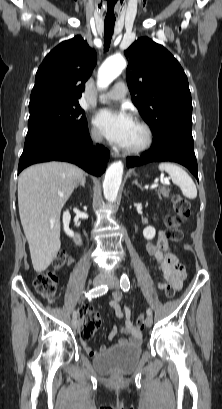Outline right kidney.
<instances>
[{"label": "right kidney", "instance_id": "obj_1", "mask_svg": "<svg viewBox=\"0 0 222 409\" xmlns=\"http://www.w3.org/2000/svg\"><path fill=\"white\" fill-rule=\"evenodd\" d=\"M71 215L69 211H65L63 213V224H64V231L69 237H73L74 233L72 230L69 229V223H70Z\"/></svg>", "mask_w": 222, "mask_h": 409}]
</instances>
